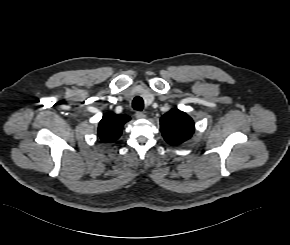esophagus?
Instances as JSON below:
<instances>
[{
    "instance_id": "1",
    "label": "esophagus",
    "mask_w": 290,
    "mask_h": 245,
    "mask_svg": "<svg viewBox=\"0 0 290 245\" xmlns=\"http://www.w3.org/2000/svg\"><path fill=\"white\" fill-rule=\"evenodd\" d=\"M135 116L137 119H144L146 117V115L143 112L137 111L135 113Z\"/></svg>"
}]
</instances>
